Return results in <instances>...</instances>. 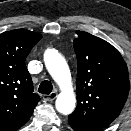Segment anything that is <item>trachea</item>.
Instances as JSON below:
<instances>
[{
  "mask_svg": "<svg viewBox=\"0 0 131 131\" xmlns=\"http://www.w3.org/2000/svg\"><path fill=\"white\" fill-rule=\"evenodd\" d=\"M52 84H51V82H49V81H43L41 84H40V86H39V88H38V92L39 93H42V94H50L51 93V91H52Z\"/></svg>",
  "mask_w": 131,
  "mask_h": 131,
  "instance_id": "1",
  "label": "trachea"
}]
</instances>
